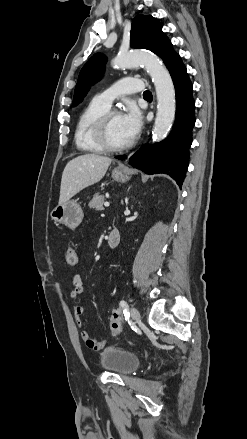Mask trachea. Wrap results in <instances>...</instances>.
I'll return each mask as SVG.
<instances>
[{
  "label": "trachea",
  "mask_w": 247,
  "mask_h": 439,
  "mask_svg": "<svg viewBox=\"0 0 247 439\" xmlns=\"http://www.w3.org/2000/svg\"><path fill=\"white\" fill-rule=\"evenodd\" d=\"M143 97H145V98H152V93L150 91H145L143 93Z\"/></svg>",
  "instance_id": "3493384b"
}]
</instances>
